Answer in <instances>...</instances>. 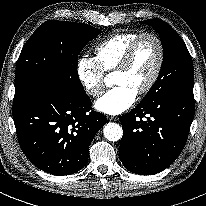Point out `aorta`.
<instances>
[{
  "label": "aorta",
  "mask_w": 206,
  "mask_h": 206,
  "mask_svg": "<svg viewBox=\"0 0 206 206\" xmlns=\"http://www.w3.org/2000/svg\"><path fill=\"white\" fill-rule=\"evenodd\" d=\"M103 134L107 140L115 142L121 139L123 130L119 124L109 122L104 126Z\"/></svg>",
  "instance_id": "762f6f07"
}]
</instances>
